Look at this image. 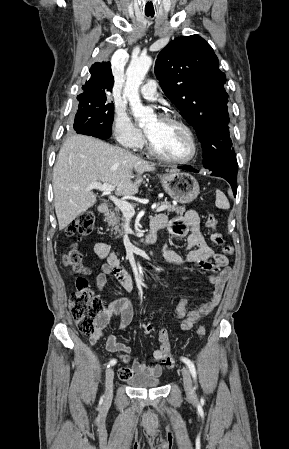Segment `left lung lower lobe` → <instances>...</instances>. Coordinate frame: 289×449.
<instances>
[{
    "instance_id": "left-lung-lower-lobe-1",
    "label": "left lung lower lobe",
    "mask_w": 289,
    "mask_h": 449,
    "mask_svg": "<svg viewBox=\"0 0 289 449\" xmlns=\"http://www.w3.org/2000/svg\"><path fill=\"white\" fill-rule=\"evenodd\" d=\"M204 167L206 168V164H204ZM179 169H183V170H187V171H191V172H199V170L192 168L191 166H180L178 167ZM208 169V168H206ZM212 176H217L213 173H211ZM224 178L225 180H227L230 185L232 186V190L234 193V196H236L237 193V189H236V184H237V175H230V176H219Z\"/></svg>"
}]
</instances>
